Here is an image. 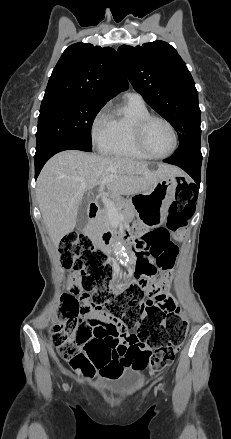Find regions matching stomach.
Returning <instances> with one entry per match:
<instances>
[{"instance_id":"stomach-1","label":"stomach","mask_w":231,"mask_h":439,"mask_svg":"<svg viewBox=\"0 0 231 439\" xmlns=\"http://www.w3.org/2000/svg\"><path fill=\"white\" fill-rule=\"evenodd\" d=\"M184 183L185 178L181 175L170 176L157 182L150 190L134 195L132 199L137 214L149 226L162 224L179 185Z\"/></svg>"}]
</instances>
